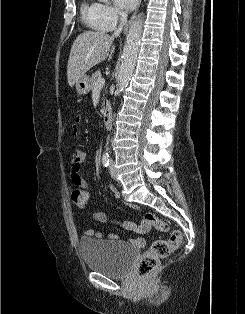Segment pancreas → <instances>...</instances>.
<instances>
[{
  "label": "pancreas",
  "mask_w": 245,
  "mask_h": 314,
  "mask_svg": "<svg viewBox=\"0 0 245 314\" xmlns=\"http://www.w3.org/2000/svg\"><path fill=\"white\" fill-rule=\"evenodd\" d=\"M98 78H101V73L100 71H96L92 74V77L90 79V88L93 89L95 87V83Z\"/></svg>",
  "instance_id": "1"
}]
</instances>
